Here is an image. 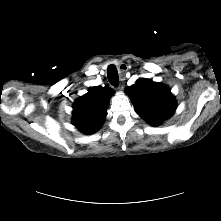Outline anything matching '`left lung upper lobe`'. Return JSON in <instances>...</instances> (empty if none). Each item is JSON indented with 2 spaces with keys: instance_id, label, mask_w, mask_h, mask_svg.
<instances>
[{
  "instance_id": "obj_1",
  "label": "left lung upper lobe",
  "mask_w": 221,
  "mask_h": 221,
  "mask_svg": "<svg viewBox=\"0 0 221 221\" xmlns=\"http://www.w3.org/2000/svg\"><path fill=\"white\" fill-rule=\"evenodd\" d=\"M125 92L132 100L136 113L152 126L170 118L176 109L174 96L162 83L139 79Z\"/></svg>"
}]
</instances>
